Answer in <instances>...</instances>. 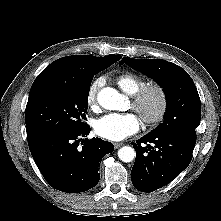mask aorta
<instances>
[{
    "instance_id": "obj_1",
    "label": "aorta",
    "mask_w": 221,
    "mask_h": 221,
    "mask_svg": "<svg viewBox=\"0 0 221 221\" xmlns=\"http://www.w3.org/2000/svg\"><path fill=\"white\" fill-rule=\"evenodd\" d=\"M98 103L107 110H121L125 102V96L116 89L106 87L99 91ZM135 150L130 146H124L118 150V157L123 162H131L135 158Z\"/></svg>"
}]
</instances>
